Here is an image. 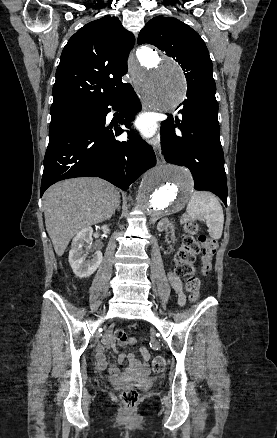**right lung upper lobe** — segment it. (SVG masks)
Returning a JSON list of instances; mask_svg holds the SVG:
<instances>
[{
    "label": "right lung upper lobe",
    "mask_w": 277,
    "mask_h": 438,
    "mask_svg": "<svg viewBox=\"0 0 277 438\" xmlns=\"http://www.w3.org/2000/svg\"><path fill=\"white\" fill-rule=\"evenodd\" d=\"M134 44V35L117 17L105 16L79 29L62 51L51 112L93 109L122 91L127 85L122 76Z\"/></svg>",
    "instance_id": "1"
}]
</instances>
